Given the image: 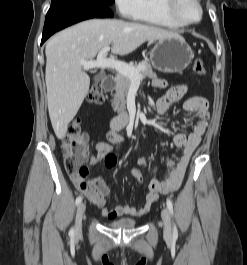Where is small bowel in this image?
<instances>
[{
  "label": "small bowel",
  "mask_w": 247,
  "mask_h": 265,
  "mask_svg": "<svg viewBox=\"0 0 247 265\" xmlns=\"http://www.w3.org/2000/svg\"><path fill=\"white\" fill-rule=\"evenodd\" d=\"M154 86L167 88L168 83L165 80L157 79L153 82ZM188 91L187 84H180L169 87L166 94L157 100L155 109L158 116H162L168 108L175 102L179 101ZM184 114L199 112V121L190 134L178 133L172 137L173 144L182 150L181 156L177 161L173 160L167 153L164 154L166 163L172 171L165 181H159L152 178L147 184V194L144 202L140 207L128 205H116L113 208L107 207V199L112 194L111 189L104 180L95 176L90 180L79 175H71V180L76 188L96 207L101 209V213L108 219H115L120 216H142L146 214L152 204L158 199L160 194H168L176 191L184 178L185 171L194 151L201 142L202 136L206 130L209 119V102L206 98L200 96L190 97L182 105ZM124 140L123 135L114 130L106 134V139L95 145L96 154L88 158V164L93 167L98 162H103L107 168H114L117 165V158L114 153V145ZM138 166L131 170V175L140 183L144 181L141 168H147L151 176L154 175L155 169L149 166L144 157L137 161Z\"/></svg>",
  "instance_id": "small-bowel-1"
}]
</instances>
